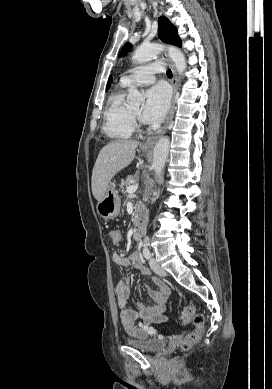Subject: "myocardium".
<instances>
[{"label": "myocardium", "mask_w": 272, "mask_h": 389, "mask_svg": "<svg viewBox=\"0 0 272 389\" xmlns=\"http://www.w3.org/2000/svg\"><path fill=\"white\" fill-rule=\"evenodd\" d=\"M130 115L135 128L140 129L142 126V121L140 115L136 114L132 109H130Z\"/></svg>", "instance_id": "obj_1"}]
</instances>
